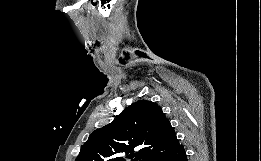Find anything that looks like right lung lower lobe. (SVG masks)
Masks as SVG:
<instances>
[{
  "label": "right lung lower lobe",
  "mask_w": 261,
  "mask_h": 161,
  "mask_svg": "<svg viewBox=\"0 0 261 161\" xmlns=\"http://www.w3.org/2000/svg\"><path fill=\"white\" fill-rule=\"evenodd\" d=\"M148 161H187L183 145L178 144L171 150L153 155Z\"/></svg>",
  "instance_id": "98d812e1"
}]
</instances>
